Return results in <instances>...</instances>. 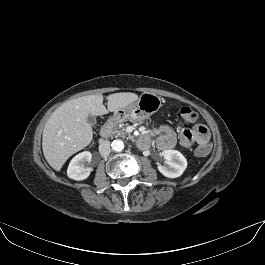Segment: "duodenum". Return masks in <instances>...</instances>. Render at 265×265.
<instances>
[{
	"instance_id": "1",
	"label": "duodenum",
	"mask_w": 265,
	"mask_h": 265,
	"mask_svg": "<svg viewBox=\"0 0 265 265\" xmlns=\"http://www.w3.org/2000/svg\"><path fill=\"white\" fill-rule=\"evenodd\" d=\"M118 121H119V117L118 116H115V115L114 116H111L106 121V123L104 124V126L102 127V129H101V136L103 138H107L111 134L114 126L118 123ZM147 141H148V138L145 135L139 137V139H138V143H139L140 146L146 144Z\"/></svg>"
}]
</instances>
